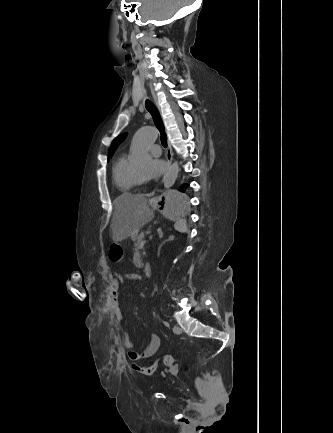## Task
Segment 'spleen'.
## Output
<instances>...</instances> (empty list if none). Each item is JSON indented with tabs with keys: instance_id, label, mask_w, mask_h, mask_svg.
Segmentation results:
<instances>
[{
	"instance_id": "obj_1",
	"label": "spleen",
	"mask_w": 333,
	"mask_h": 433,
	"mask_svg": "<svg viewBox=\"0 0 333 433\" xmlns=\"http://www.w3.org/2000/svg\"><path fill=\"white\" fill-rule=\"evenodd\" d=\"M172 221L175 222V224H174L175 230H177L181 233H187L188 232L187 222H186L185 218H183V220H172Z\"/></svg>"
}]
</instances>
